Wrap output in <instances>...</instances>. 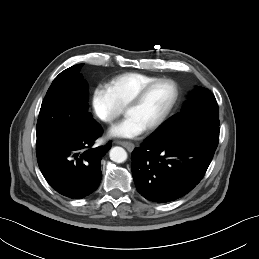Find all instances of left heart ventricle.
<instances>
[{
  "label": "left heart ventricle",
  "instance_id": "b2bd125f",
  "mask_svg": "<svg viewBox=\"0 0 259 259\" xmlns=\"http://www.w3.org/2000/svg\"><path fill=\"white\" fill-rule=\"evenodd\" d=\"M173 87L168 83H159L153 86L142 101L126 111L127 116H132L144 128L158 120L169 106L173 98Z\"/></svg>",
  "mask_w": 259,
  "mask_h": 259
}]
</instances>
